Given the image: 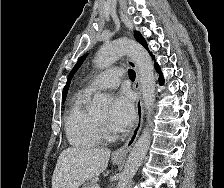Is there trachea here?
Returning a JSON list of instances; mask_svg holds the SVG:
<instances>
[{
    "label": "trachea",
    "instance_id": "obj_1",
    "mask_svg": "<svg viewBox=\"0 0 224 188\" xmlns=\"http://www.w3.org/2000/svg\"><path fill=\"white\" fill-rule=\"evenodd\" d=\"M128 74H129V78H130L132 81H134V80H135V76H136L135 71L132 70V69H129V70H128Z\"/></svg>",
    "mask_w": 224,
    "mask_h": 188
}]
</instances>
